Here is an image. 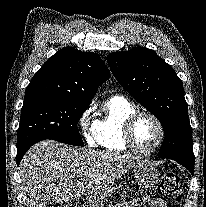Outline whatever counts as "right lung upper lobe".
I'll use <instances>...</instances> for the list:
<instances>
[{"instance_id": "obj_1", "label": "right lung upper lobe", "mask_w": 206, "mask_h": 207, "mask_svg": "<svg viewBox=\"0 0 206 207\" xmlns=\"http://www.w3.org/2000/svg\"><path fill=\"white\" fill-rule=\"evenodd\" d=\"M109 76L96 53L66 47L37 71L26 88L24 101L54 97L90 104L99 85Z\"/></svg>"}]
</instances>
